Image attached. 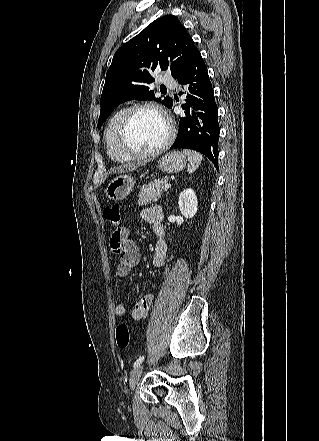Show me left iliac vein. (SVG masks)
Here are the masks:
<instances>
[{
    "label": "left iliac vein",
    "instance_id": "left-iliac-vein-1",
    "mask_svg": "<svg viewBox=\"0 0 319 441\" xmlns=\"http://www.w3.org/2000/svg\"><path fill=\"white\" fill-rule=\"evenodd\" d=\"M142 369H143V366L138 365V366L134 367L133 370L131 371L130 380H129V385H130L131 389L135 388L136 384L138 383V381L141 377V374H142Z\"/></svg>",
    "mask_w": 319,
    "mask_h": 441
}]
</instances>
